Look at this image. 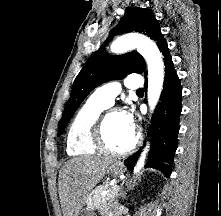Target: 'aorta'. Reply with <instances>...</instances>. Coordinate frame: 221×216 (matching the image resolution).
<instances>
[{"label":"aorta","mask_w":221,"mask_h":216,"mask_svg":"<svg viewBox=\"0 0 221 216\" xmlns=\"http://www.w3.org/2000/svg\"><path fill=\"white\" fill-rule=\"evenodd\" d=\"M111 51L116 54L136 48L144 57L148 66V104L151 112L155 109L161 95L164 81V64L157 45L148 37L140 34H126L116 38L111 44ZM147 146L141 154L134 172L137 173L144 165Z\"/></svg>","instance_id":"aorta-1"}]
</instances>
